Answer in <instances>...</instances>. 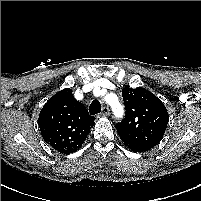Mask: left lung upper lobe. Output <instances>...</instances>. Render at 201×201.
<instances>
[{
	"mask_svg": "<svg viewBox=\"0 0 201 201\" xmlns=\"http://www.w3.org/2000/svg\"><path fill=\"white\" fill-rule=\"evenodd\" d=\"M126 116L115 125L121 140L131 149L148 151L162 139L169 115L163 103L150 91L138 87L122 90Z\"/></svg>",
	"mask_w": 201,
	"mask_h": 201,
	"instance_id": "5c2ea615",
	"label": "left lung upper lobe"
}]
</instances>
